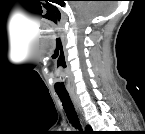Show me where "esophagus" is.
I'll list each match as a JSON object with an SVG mask.
<instances>
[{"label": "esophagus", "instance_id": "esophagus-1", "mask_svg": "<svg viewBox=\"0 0 145 134\" xmlns=\"http://www.w3.org/2000/svg\"><path fill=\"white\" fill-rule=\"evenodd\" d=\"M72 100H73L75 106L78 108L79 106H78V100H77V98L75 96H72Z\"/></svg>", "mask_w": 145, "mask_h": 134}]
</instances>
